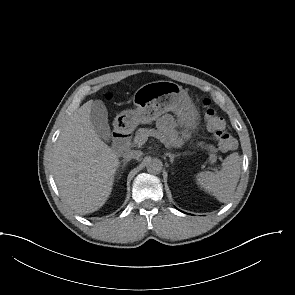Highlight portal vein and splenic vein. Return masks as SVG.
I'll use <instances>...</instances> for the list:
<instances>
[{
    "instance_id": "18ae733b",
    "label": "portal vein and splenic vein",
    "mask_w": 295,
    "mask_h": 295,
    "mask_svg": "<svg viewBox=\"0 0 295 295\" xmlns=\"http://www.w3.org/2000/svg\"><path fill=\"white\" fill-rule=\"evenodd\" d=\"M149 136H153L156 139L160 140V142L165 146V148H167V149L170 148V146H169L168 142L165 140V138L155 131H151L148 135H143L140 138L138 145L139 146L143 145L147 141Z\"/></svg>"
}]
</instances>
